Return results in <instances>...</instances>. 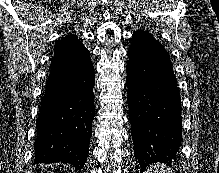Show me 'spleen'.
<instances>
[{
    "instance_id": "1",
    "label": "spleen",
    "mask_w": 219,
    "mask_h": 173,
    "mask_svg": "<svg viewBox=\"0 0 219 173\" xmlns=\"http://www.w3.org/2000/svg\"><path fill=\"white\" fill-rule=\"evenodd\" d=\"M154 168H155V173L157 172H159V173H165V171H164V166H160V165H157V166H154ZM167 173H172V171L170 170V169H168L167 170Z\"/></svg>"
}]
</instances>
